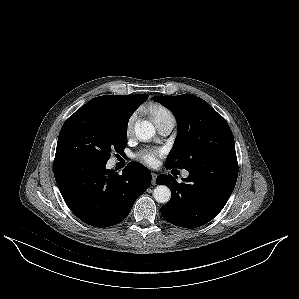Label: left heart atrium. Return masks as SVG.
<instances>
[{
    "label": "left heart atrium",
    "instance_id": "left-heart-atrium-1",
    "mask_svg": "<svg viewBox=\"0 0 299 299\" xmlns=\"http://www.w3.org/2000/svg\"><path fill=\"white\" fill-rule=\"evenodd\" d=\"M163 154L162 149L152 148V149H144L137 154V158L141 160L148 166H156L158 164V159Z\"/></svg>",
    "mask_w": 299,
    "mask_h": 299
}]
</instances>
